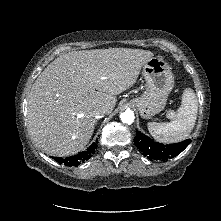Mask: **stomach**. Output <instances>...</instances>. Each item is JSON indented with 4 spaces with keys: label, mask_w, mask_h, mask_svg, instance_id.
<instances>
[{
    "label": "stomach",
    "mask_w": 221,
    "mask_h": 221,
    "mask_svg": "<svg viewBox=\"0 0 221 221\" xmlns=\"http://www.w3.org/2000/svg\"><path fill=\"white\" fill-rule=\"evenodd\" d=\"M142 75L147 84L146 91L131 102L144 119L160 113L174 86V77L167 63L159 57H152L142 67Z\"/></svg>",
    "instance_id": "obj_1"
}]
</instances>
